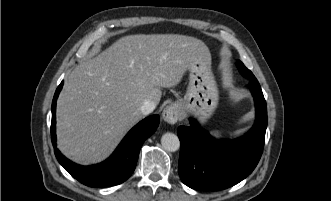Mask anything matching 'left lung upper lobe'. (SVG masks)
<instances>
[{"label": "left lung upper lobe", "instance_id": "left-lung-upper-lobe-1", "mask_svg": "<svg viewBox=\"0 0 331 201\" xmlns=\"http://www.w3.org/2000/svg\"><path fill=\"white\" fill-rule=\"evenodd\" d=\"M237 65H238V68H239L240 72L245 77H247L249 79H255V76L253 75V73L250 70H248L241 61H238Z\"/></svg>", "mask_w": 331, "mask_h": 201}]
</instances>
